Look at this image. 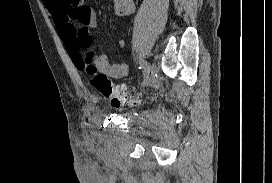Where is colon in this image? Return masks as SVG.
Segmentation results:
<instances>
[{
  "label": "colon",
  "instance_id": "1",
  "mask_svg": "<svg viewBox=\"0 0 272 183\" xmlns=\"http://www.w3.org/2000/svg\"><path fill=\"white\" fill-rule=\"evenodd\" d=\"M83 69L90 77L93 87L115 108L122 106L135 105L139 97L133 92L128 90L125 86H116L106 75L99 72L98 68L94 64L92 52L90 48L86 50Z\"/></svg>",
  "mask_w": 272,
  "mask_h": 183
}]
</instances>
